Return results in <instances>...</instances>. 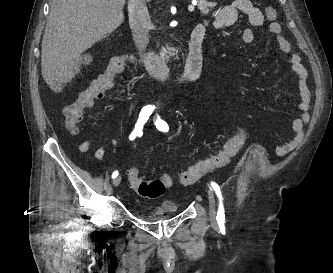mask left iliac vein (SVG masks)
Instances as JSON below:
<instances>
[{
  "label": "left iliac vein",
  "mask_w": 333,
  "mask_h": 273,
  "mask_svg": "<svg viewBox=\"0 0 333 273\" xmlns=\"http://www.w3.org/2000/svg\"><path fill=\"white\" fill-rule=\"evenodd\" d=\"M207 195L209 198V214H210V221L213 226L217 225V217H216V204L213 192L210 188H207Z\"/></svg>",
  "instance_id": "4c4485c4"
}]
</instances>
